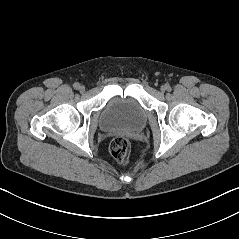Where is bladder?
I'll return each mask as SVG.
<instances>
[{
  "label": "bladder",
  "instance_id": "obj_1",
  "mask_svg": "<svg viewBox=\"0 0 239 239\" xmlns=\"http://www.w3.org/2000/svg\"><path fill=\"white\" fill-rule=\"evenodd\" d=\"M148 116L141 104L131 96L115 95L106 103L99 126L103 130L139 132L147 124Z\"/></svg>",
  "mask_w": 239,
  "mask_h": 239
}]
</instances>
